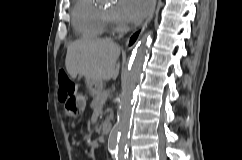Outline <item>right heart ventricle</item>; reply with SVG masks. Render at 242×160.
<instances>
[{
    "instance_id": "obj_1",
    "label": "right heart ventricle",
    "mask_w": 242,
    "mask_h": 160,
    "mask_svg": "<svg viewBox=\"0 0 242 160\" xmlns=\"http://www.w3.org/2000/svg\"><path fill=\"white\" fill-rule=\"evenodd\" d=\"M77 34L83 38H100L105 32L102 10L94 0H75L71 12Z\"/></svg>"
}]
</instances>
